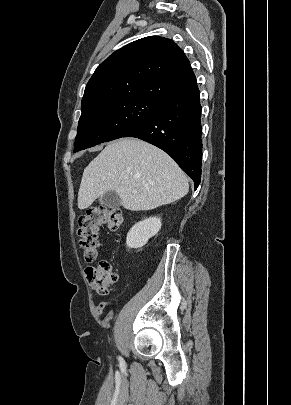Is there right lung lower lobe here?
Listing matches in <instances>:
<instances>
[{"mask_svg": "<svg viewBox=\"0 0 291 405\" xmlns=\"http://www.w3.org/2000/svg\"><path fill=\"white\" fill-rule=\"evenodd\" d=\"M201 105L197 83L166 97L158 110L124 137L151 143L170 155L200 184L202 165Z\"/></svg>", "mask_w": 291, "mask_h": 405, "instance_id": "right-lung-lower-lobe-1", "label": "right lung lower lobe"}]
</instances>
